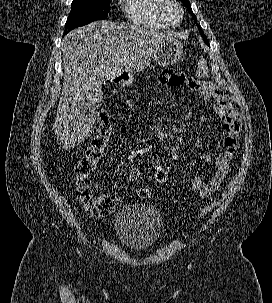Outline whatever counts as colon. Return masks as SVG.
Instances as JSON below:
<instances>
[{
  "mask_svg": "<svg viewBox=\"0 0 272 303\" xmlns=\"http://www.w3.org/2000/svg\"><path fill=\"white\" fill-rule=\"evenodd\" d=\"M208 73L207 62L201 60L197 68V76L204 78ZM111 134V124L106 114L98 116V127L96 135L90 142L79 161L75 166V195L77 200L84 206L86 213L90 217L101 218L110 215L117 207V199L112 195H95L91 186L90 177L96 168L97 162L102 157L108 144ZM151 166L154 179L158 186L164 185L168 180V173L165 167L156 159H151ZM233 184V178L229 182V187ZM137 194L140 198H149L152 190L148 187H141ZM227 196L223 191L206 205L198 210L197 216H202L218 206Z\"/></svg>",
  "mask_w": 272,
  "mask_h": 303,
  "instance_id": "colon-1",
  "label": "colon"
}]
</instances>
